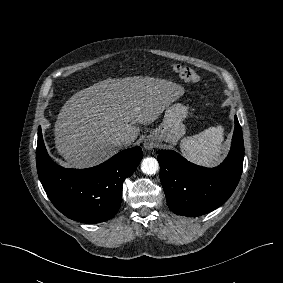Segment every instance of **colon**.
Wrapping results in <instances>:
<instances>
[{
    "instance_id": "5ec220e1",
    "label": "colon",
    "mask_w": 283,
    "mask_h": 283,
    "mask_svg": "<svg viewBox=\"0 0 283 283\" xmlns=\"http://www.w3.org/2000/svg\"><path fill=\"white\" fill-rule=\"evenodd\" d=\"M171 67L184 80L194 84L200 83L201 78L194 69L181 64H172Z\"/></svg>"
}]
</instances>
